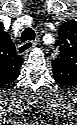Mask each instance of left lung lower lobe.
<instances>
[{"mask_svg":"<svg viewBox=\"0 0 77 125\" xmlns=\"http://www.w3.org/2000/svg\"><path fill=\"white\" fill-rule=\"evenodd\" d=\"M54 79L62 85H66L72 78L73 68L68 65L52 64Z\"/></svg>","mask_w":77,"mask_h":125,"instance_id":"obj_1","label":"left lung lower lobe"}]
</instances>
